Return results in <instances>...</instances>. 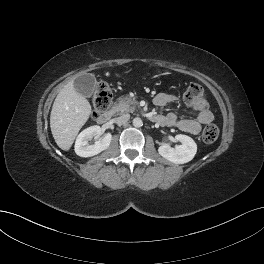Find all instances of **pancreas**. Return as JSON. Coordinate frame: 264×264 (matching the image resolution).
<instances>
[{
	"instance_id": "pancreas-1",
	"label": "pancreas",
	"mask_w": 264,
	"mask_h": 264,
	"mask_svg": "<svg viewBox=\"0 0 264 264\" xmlns=\"http://www.w3.org/2000/svg\"><path fill=\"white\" fill-rule=\"evenodd\" d=\"M137 102L128 97H120L114 105V110L117 113L130 112L133 113L136 110Z\"/></svg>"
}]
</instances>
